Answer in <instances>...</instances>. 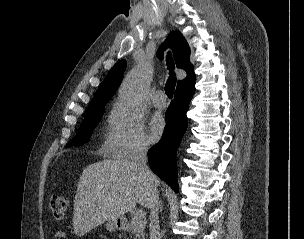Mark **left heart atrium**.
I'll use <instances>...</instances> for the list:
<instances>
[{
  "label": "left heart atrium",
  "instance_id": "39dd6f15",
  "mask_svg": "<svg viewBox=\"0 0 304 239\" xmlns=\"http://www.w3.org/2000/svg\"><path fill=\"white\" fill-rule=\"evenodd\" d=\"M165 129V119L161 114H155L150 121V139L157 141Z\"/></svg>",
  "mask_w": 304,
  "mask_h": 239
}]
</instances>
